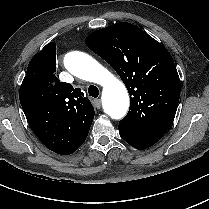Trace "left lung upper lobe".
Listing matches in <instances>:
<instances>
[{"instance_id":"5c2ea615","label":"left lung upper lobe","mask_w":209,"mask_h":209,"mask_svg":"<svg viewBox=\"0 0 209 209\" xmlns=\"http://www.w3.org/2000/svg\"><path fill=\"white\" fill-rule=\"evenodd\" d=\"M86 45L114 68L129 92L130 108L118 128L158 142L174 120L180 97V79L169 52L127 22L91 33Z\"/></svg>"}]
</instances>
